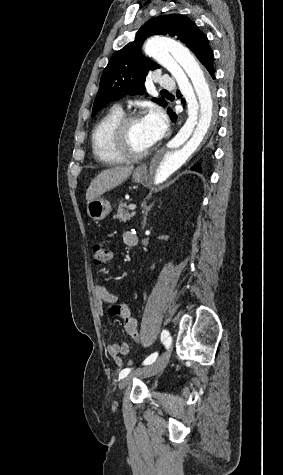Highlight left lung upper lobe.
Returning <instances> with one entry per match:
<instances>
[{"label":"left lung upper lobe","instance_id":"1","mask_svg":"<svg viewBox=\"0 0 283 475\" xmlns=\"http://www.w3.org/2000/svg\"><path fill=\"white\" fill-rule=\"evenodd\" d=\"M152 35H170L176 37L193 51L199 61L208 58L211 48L206 35L189 18L180 14L163 15L148 20L137 33L135 40L115 53L103 71L100 88L95 98L92 116L107 103L120 99L126 94H144L148 71L160 68L152 60L146 58L141 47L145 39ZM165 107V99H153Z\"/></svg>","mask_w":283,"mask_h":475}]
</instances>
